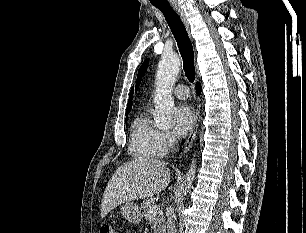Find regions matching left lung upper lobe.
I'll return each mask as SVG.
<instances>
[{
  "mask_svg": "<svg viewBox=\"0 0 306 233\" xmlns=\"http://www.w3.org/2000/svg\"><path fill=\"white\" fill-rule=\"evenodd\" d=\"M148 62H149V59H146L144 61V63L141 65L140 69H139V72H138V77H137V84H136V89L138 88V85H139V82L142 78V76L145 74L146 72V68L148 66Z\"/></svg>",
  "mask_w": 306,
  "mask_h": 233,
  "instance_id": "obj_1",
  "label": "left lung upper lobe"
}]
</instances>
